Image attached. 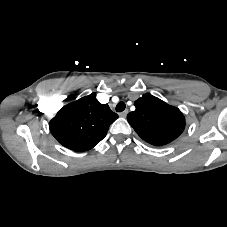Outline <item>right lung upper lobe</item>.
<instances>
[{"label": "right lung upper lobe", "instance_id": "obj_1", "mask_svg": "<svg viewBox=\"0 0 227 227\" xmlns=\"http://www.w3.org/2000/svg\"><path fill=\"white\" fill-rule=\"evenodd\" d=\"M118 118L107 104H101L94 94L62 107L50 121L52 135L60 144L83 152L96 146Z\"/></svg>", "mask_w": 227, "mask_h": 227}]
</instances>
